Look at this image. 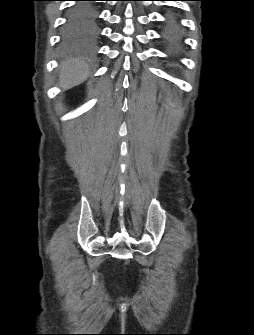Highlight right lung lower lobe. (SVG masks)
<instances>
[{"instance_id": "98d812e1", "label": "right lung lower lobe", "mask_w": 254, "mask_h": 335, "mask_svg": "<svg viewBox=\"0 0 254 335\" xmlns=\"http://www.w3.org/2000/svg\"><path fill=\"white\" fill-rule=\"evenodd\" d=\"M88 1H82L74 5L71 11L76 10L73 13L68 14L67 25H73L82 22L85 29H89L96 24L97 11L95 8H91L86 4Z\"/></svg>"}]
</instances>
